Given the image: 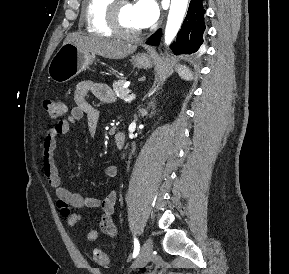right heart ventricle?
<instances>
[{
  "label": "right heart ventricle",
  "mask_w": 289,
  "mask_h": 274,
  "mask_svg": "<svg viewBox=\"0 0 289 274\" xmlns=\"http://www.w3.org/2000/svg\"><path fill=\"white\" fill-rule=\"evenodd\" d=\"M112 0H84L83 20L88 32L112 37L114 33L108 26L107 11Z\"/></svg>",
  "instance_id": "e07e8e85"
}]
</instances>
